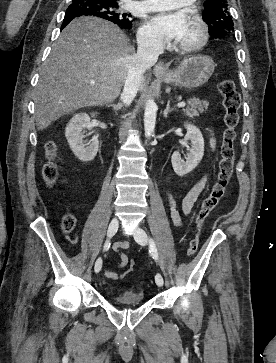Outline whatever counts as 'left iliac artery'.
Returning <instances> with one entry per match:
<instances>
[{
	"instance_id": "obj_1",
	"label": "left iliac artery",
	"mask_w": 276,
	"mask_h": 363,
	"mask_svg": "<svg viewBox=\"0 0 276 363\" xmlns=\"http://www.w3.org/2000/svg\"><path fill=\"white\" fill-rule=\"evenodd\" d=\"M150 253L152 254L153 258L155 260L158 259V253H157V249H156V245L154 243V241L152 239H150Z\"/></svg>"
}]
</instances>
